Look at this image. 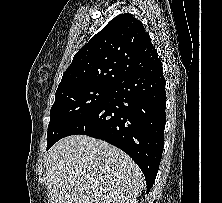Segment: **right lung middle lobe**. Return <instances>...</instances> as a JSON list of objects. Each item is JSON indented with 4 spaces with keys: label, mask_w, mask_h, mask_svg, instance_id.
Returning a JSON list of instances; mask_svg holds the SVG:
<instances>
[{
    "label": "right lung middle lobe",
    "mask_w": 222,
    "mask_h": 203,
    "mask_svg": "<svg viewBox=\"0 0 222 203\" xmlns=\"http://www.w3.org/2000/svg\"><path fill=\"white\" fill-rule=\"evenodd\" d=\"M110 92L111 87L96 85L73 86L56 91L55 102L50 110L47 150L69 125L103 103Z\"/></svg>",
    "instance_id": "1"
}]
</instances>
